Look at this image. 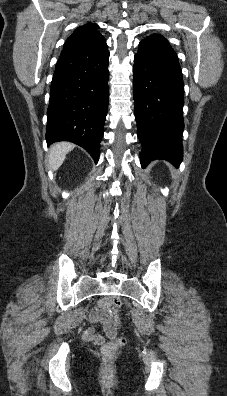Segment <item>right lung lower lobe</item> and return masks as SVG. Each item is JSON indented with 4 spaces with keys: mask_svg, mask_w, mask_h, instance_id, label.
Masks as SVG:
<instances>
[{
    "mask_svg": "<svg viewBox=\"0 0 227 396\" xmlns=\"http://www.w3.org/2000/svg\"><path fill=\"white\" fill-rule=\"evenodd\" d=\"M108 60L105 39L63 50L55 67L47 110V143L73 142L96 163L108 107Z\"/></svg>",
    "mask_w": 227,
    "mask_h": 396,
    "instance_id": "obj_1",
    "label": "right lung lower lobe"
}]
</instances>
